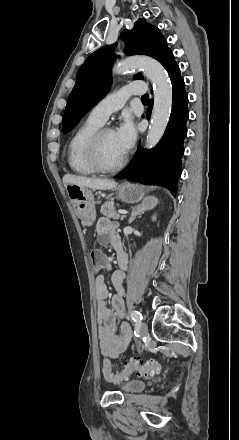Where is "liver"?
Wrapping results in <instances>:
<instances>
[{"label": "liver", "mask_w": 239, "mask_h": 440, "mask_svg": "<svg viewBox=\"0 0 239 440\" xmlns=\"http://www.w3.org/2000/svg\"><path fill=\"white\" fill-rule=\"evenodd\" d=\"M65 188L67 186H79V188H91V190H112L116 188L113 180H97V178H86V176H71L66 174L63 178Z\"/></svg>", "instance_id": "1"}]
</instances>
